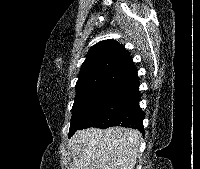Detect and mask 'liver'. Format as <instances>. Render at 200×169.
Returning <instances> with one entry per match:
<instances>
[{
	"label": "liver",
	"mask_w": 200,
	"mask_h": 169,
	"mask_svg": "<svg viewBox=\"0 0 200 169\" xmlns=\"http://www.w3.org/2000/svg\"><path fill=\"white\" fill-rule=\"evenodd\" d=\"M141 139V133L131 128L78 130L69 142V169H134Z\"/></svg>",
	"instance_id": "1"
}]
</instances>
